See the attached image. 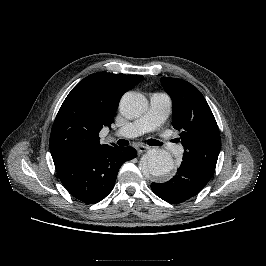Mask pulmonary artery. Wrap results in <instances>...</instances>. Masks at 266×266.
I'll return each instance as SVG.
<instances>
[{
  "instance_id": "pulmonary-artery-1",
  "label": "pulmonary artery",
  "mask_w": 266,
  "mask_h": 266,
  "mask_svg": "<svg viewBox=\"0 0 266 266\" xmlns=\"http://www.w3.org/2000/svg\"><path fill=\"white\" fill-rule=\"evenodd\" d=\"M171 107L172 102L167 94L153 93L147 112L139 119L118 129L115 135L123 138H134L145 132L156 130L168 118ZM165 148L171 152L174 144L165 142Z\"/></svg>"
}]
</instances>
